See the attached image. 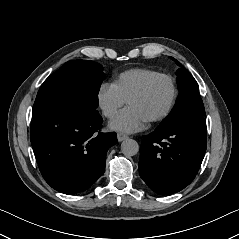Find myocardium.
Listing matches in <instances>:
<instances>
[{"instance_id": "obj_1", "label": "myocardium", "mask_w": 239, "mask_h": 239, "mask_svg": "<svg viewBox=\"0 0 239 239\" xmlns=\"http://www.w3.org/2000/svg\"><path fill=\"white\" fill-rule=\"evenodd\" d=\"M160 79H164V80L168 81V83L170 84V90H171L170 98H169V101H168L167 105L165 106V108L161 112L150 117L148 119V122L159 121V120L165 118L170 113V111L174 105L175 98H176V86H175V83H174V80L172 79V77L167 74H157V75L149 78L140 88H138L135 92H133L127 99V104H130L133 100L141 97L148 90V88L151 86V84H153L155 81L160 80Z\"/></svg>"}]
</instances>
